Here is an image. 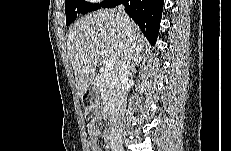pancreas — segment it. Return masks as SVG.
Listing matches in <instances>:
<instances>
[{
  "label": "pancreas",
  "mask_w": 231,
  "mask_h": 151,
  "mask_svg": "<svg viewBox=\"0 0 231 151\" xmlns=\"http://www.w3.org/2000/svg\"><path fill=\"white\" fill-rule=\"evenodd\" d=\"M96 87L101 94L103 105L110 107L114 98V79L110 73L101 72L96 80Z\"/></svg>",
  "instance_id": "pancreas-1"
}]
</instances>
